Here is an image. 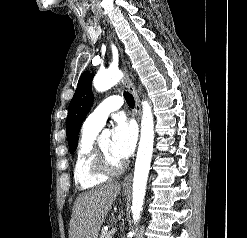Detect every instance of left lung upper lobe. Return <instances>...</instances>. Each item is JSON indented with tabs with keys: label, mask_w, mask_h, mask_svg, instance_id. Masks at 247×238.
I'll list each match as a JSON object with an SVG mask.
<instances>
[{
	"label": "left lung upper lobe",
	"mask_w": 247,
	"mask_h": 238,
	"mask_svg": "<svg viewBox=\"0 0 247 238\" xmlns=\"http://www.w3.org/2000/svg\"><path fill=\"white\" fill-rule=\"evenodd\" d=\"M92 103V74L86 71L78 81L77 89L68 109L66 127L70 153L77 148L80 125L90 111Z\"/></svg>",
	"instance_id": "obj_1"
}]
</instances>
